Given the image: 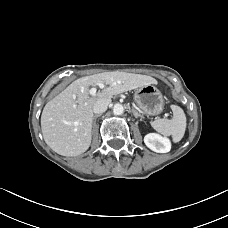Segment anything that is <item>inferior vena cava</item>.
I'll list each match as a JSON object with an SVG mask.
<instances>
[{
  "instance_id": "1",
  "label": "inferior vena cava",
  "mask_w": 228,
  "mask_h": 228,
  "mask_svg": "<svg viewBox=\"0 0 228 228\" xmlns=\"http://www.w3.org/2000/svg\"><path fill=\"white\" fill-rule=\"evenodd\" d=\"M109 104V100H100L94 105L93 112L95 114H101L107 110Z\"/></svg>"
}]
</instances>
